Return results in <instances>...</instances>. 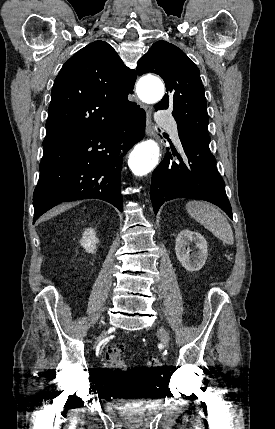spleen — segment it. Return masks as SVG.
Wrapping results in <instances>:
<instances>
[{
    "mask_svg": "<svg viewBox=\"0 0 275 429\" xmlns=\"http://www.w3.org/2000/svg\"><path fill=\"white\" fill-rule=\"evenodd\" d=\"M188 214L217 238L228 245L234 243L233 231L224 215L206 202L190 201L186 204Z\"/></svg>",
    "mask_w": 275,
    "mask_h": 429,
    "instance_id": "spleen-1",
    "label": "spleen"
}]
</instances>
